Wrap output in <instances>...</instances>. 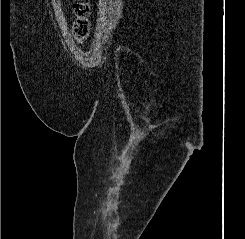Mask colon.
Masks as SVG:
<instances>
[{
	"label": "colon",
	"instance_id": "1",
	"mask_svg": "<svg viewBox=\"0 0 245 239\" xmlns=\"http://www.w3.org/2000/svg\"><path fill=\"white\" fill-rule=\"evenodd\" d=\"M91 7L88 2L78 0L74 4L75 21L73 24V35L78 43H82L88 37L90 31L89 16Z\"/></svg>",
	"mask_w": 245,
	"mask_h": 239
}]
</instances>
